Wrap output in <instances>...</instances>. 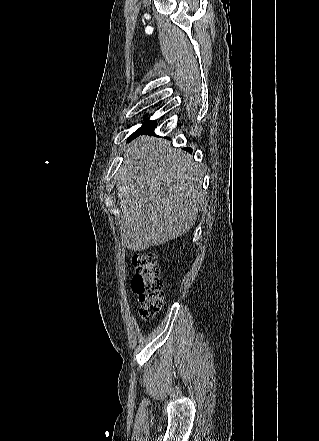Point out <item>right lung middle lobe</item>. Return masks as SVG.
I'll list each match as a JSON object with an SVG mask.
<instances>
[{
    "mask_svg": "<svg viewBox=\"0 0 319 441\" xmlns=\"http://www.w3.org/2000/svg\"><path fill=\"white\" fill-rule=\"evenodd\" d=\"M153 123H154V121H151V120H149V119L145 120V121L142 123V126H141L138 130H136L132 135H130V137L128 138V141H130V140L134 139L135 137L139 136L140 133H141L144 129H146L148 126H150V125L153 124Z\"/></svg>",
    "mask_w": 319,
    "mask_h": 441,
    "instance_id": "dd1d6c3e",
    "label": "right lung middle lobe"
}]
</instances>
